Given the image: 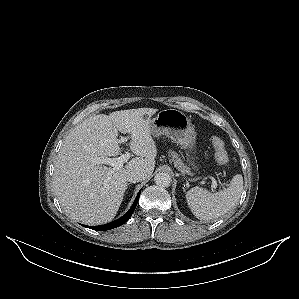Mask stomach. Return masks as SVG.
I'll use <instances>...</instances> for the list:
<instances>
[{
  "instance_id": "obj_1",
  "label": "stomach",
  "mask_w": 299,
  "mask_h": 299,
  "mask_svg": "<svg viewBox=\"0 0 299 299\" xmlns=\"http://www.w3.org/2000/svg\"><path fill=\"white\" fill-rule=\"evenodd\" d=\"M151 135L158 137L165 135L173 142L194 153L196 132L190 119L177 109H164L158 112L150 122ZM190 156V155H189ZM190 164L194 170L199 167L195 157L191 156Z\"/></svg>"
}]
</instances>
